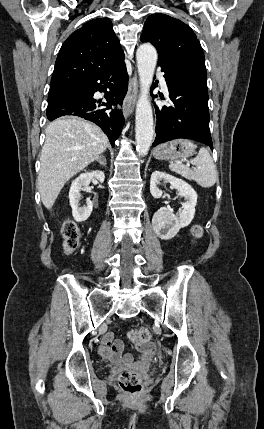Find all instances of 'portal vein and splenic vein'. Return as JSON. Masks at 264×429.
<instances>
[{
    "label": "portal vein and splenic vein",
    "instance_id": "portal-vein-and-splenic-vein-1",
    "mask_svg": "<svg viewBox=\"0 0 264 429\" xmlns=\"http://www.w3.org/2000/svg\"><path fill=\"white\" fill-rule=\"evenodd\" d=\"M186 165H187L188 167L190 166V164H189V163H187Z\"/></svg>",
    "mask_w": 264,
    "mask_h": 429
}]
</instances>
